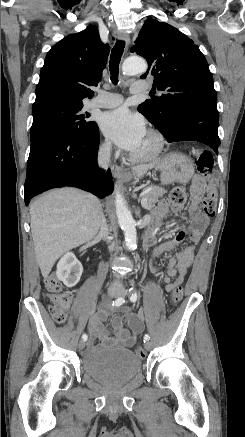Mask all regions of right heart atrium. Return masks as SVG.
<instances>
[{
  "label": "right heart atrium",
  "instance_id": "d8ad5b80",
  "mask_svg": "<svg viewBox=\"0 0 245 437\" xmlns=\"http://www.w3.org/2000/svg\"><path fill=\"white\" fill-rule=\"evenodd\" d=\"M98 159L102 163H108L112 157V145L108 140H102L97 147Z\"/></svg>",
  "mask_w": 245,
  "mask_h": 437
}]
</instances>
